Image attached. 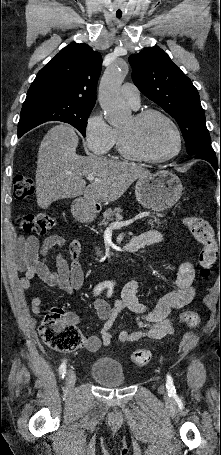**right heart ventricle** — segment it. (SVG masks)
Instances as JSON below:
<instances>
[{"instance_id": "obj_1", "label": "right heart ventricle", "mask_w": 221, "mask_h": 455, "mask_svg": "<svg viewBox=\"0 0 221 455\" xmlns=\"http://www.w3.org/2000/svg\"><path fill=\"white\" fill-rule=\"evenodd\" d=\"M119 131L115 129V140L113 146L119 150Z\"/></svg>"}]
</instances>
